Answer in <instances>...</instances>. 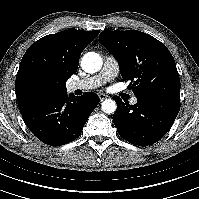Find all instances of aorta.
I'll use <instances>...</instances> for the list:
<instances>
[{
    "instance_id": "1",
    "label": "aorta",
    "mask_w": 199,
    "mask_h": 199,
    "mask_svg": "<svg viewBox=\"0 0 199 199\" xmlns=\"http://www.w3.org/2000/svg\"><path fill=\"white\" fill-rule=\"evenodd\" d=\"M102 58L96 52L86 53L81 61L82 69L87 73L98 72L102 67ZM116 103L112 99H107L102 102V110L107 114H112L116 111Z\"/></svg>"
}]
</instances>
